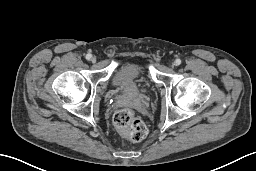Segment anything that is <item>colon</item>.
I'll list each match as a JSON object with an SVG mask.
<instances>
[{
    "label": "colon",
    "mask_w": 256,
    "mask_h": 171,
    "mask_svg": "<svg viewBox=\"0 0 256 171\" xmlns=\"http://www.w3.org/2000/svg\"><path fill=\"white\" fill-rule=\"evenodd\" d=\"M114 124L120 132L135 142H140L147 136L146 125L129 108L121 109L115 113Z\"/></svg>",
    "instance_id": "5ec220e1"
}]
</instances>
